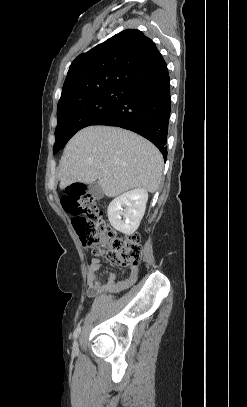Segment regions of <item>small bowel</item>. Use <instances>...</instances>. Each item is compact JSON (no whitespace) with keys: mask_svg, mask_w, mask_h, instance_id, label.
Masks as SVG:
<instances>
[{"mask_svg":"<svg viewBox=\"0 0 247 407\" xmlns=\"http://www.w3.org/2000/svg\"><path fill=\"white\" fill-rule=\"evenodd\" d=\"M101 266L98 258H92L88 266V295L90 297H96L103 292H119L132 286L138 278L137 266L130 267L129 276L121 281H115V275L112 272H107L109 275V281L107 284L102 285L98 279V270Z\"/></svg>","mask_w":247,"mask_h":407,"instance_id":"obj_1","label":"small bowel"}]
</instances>
